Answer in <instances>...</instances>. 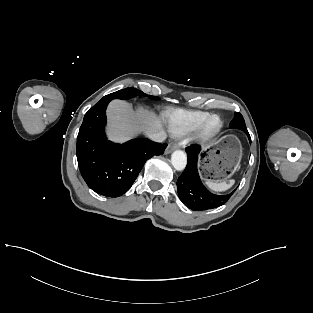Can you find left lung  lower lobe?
<instances>
[{
  "label": "left lung lower lobe",
  "mask_w": 313,
  "mask_h": 313,
  "mask_svg": "<svg viewBox=\"0 0 313 313\" xmlns=\"http://www.w3.org/2000/svg\"><path fill=\"white\" fill-rule=\"evenodd\" d=\"M245 133L251 142L248 131ZM186 152L188 164L177 181L180 200L193 211L213 209L225 204L234 191L223 196L210 193L202 184L197 170L200 147L198 145L188 146Z\"/></svg>",
  "instance_id": "1"
}]
</instances>
